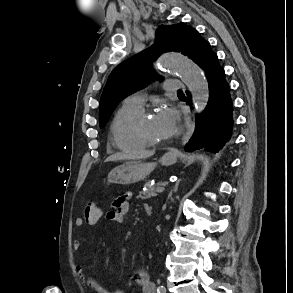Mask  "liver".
Returning a JSON list of instances; mask_svg holds the SVG:
<instances>
[{
  "mask_svg": "<svg viewBox=\"0 0 293 293\" xmlns=\"http://www.w3.org/2000/svg\"><path fill=\"white\" fill-rule=\"evenodd\" d=\"M153 154H154V151H140V152L132 154V155H127V154H123V153H116V154L109 156L106 159V162L119 161V160H124V159H143V158L151 157Z\"/></svg>",
  "mask_w": 293,
  "mask_h": 293,
  "instance_id": "1",
  "label": "liver"
}]
</instances>
